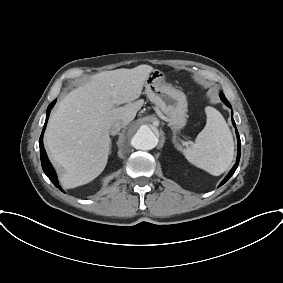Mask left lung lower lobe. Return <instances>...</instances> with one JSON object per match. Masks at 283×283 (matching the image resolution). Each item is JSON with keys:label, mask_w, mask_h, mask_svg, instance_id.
<instances>
[{"label": "left lung lower lobe", "mask_w": 283, "mask_h": 283, "mask_svg": "<svg viewBox=\"0 0 283 283\" xmlns=\"http://www.w3.org/2000/svg\"><path fill=\"white\" fill-rule=\"evenodd\" d=\"M220 97H221V100L226 104L228 105L229 107H231L230 103L228 102V100L226 99V97L224 96L223 93H220ZM232 123L235 127V131H236V135H237V138H238V154H237V159H236V163L235 165L233 166V168L230 170L229 174L225 177V179L221 182V185H223L225 182H227L229 180V178L234 174V172L236 171L237 167H238V164H239V160H240V152H241V143H240V137H239V134H238V131L236 129V126H235V122L232 118Z\"/></svg>", "instance_id": "0a47b994"}]
</instances>
